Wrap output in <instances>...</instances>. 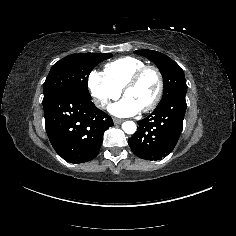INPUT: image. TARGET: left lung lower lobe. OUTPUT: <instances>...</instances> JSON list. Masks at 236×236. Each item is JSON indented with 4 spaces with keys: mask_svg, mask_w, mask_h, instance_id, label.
Segmentation results:
<instances>
[{
    "mask_svg": "<svg viewBox=\"0 0 236 236\" xmlns=\"http://www.w3.org/2000/svg\"><path fill=\"white\" fill-rule=\"evenodd\" d=\"M186 93L173 94L138 121L137 132L128 140L132 152L141 159L160 160L176 146L183 129Z\"/></svg>",
    "mask_w": 236,
    "mask_h": 236,
    "instance_id": "left-lung-lower-lobe-1",
    "label": "left lung lower lobe"
}]
</instances>
